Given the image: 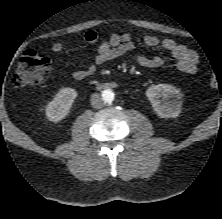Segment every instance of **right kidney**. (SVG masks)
<instances>
[{"mask_svg":"<svg viewBox=\"0 0 222 219\" xmlns=\"http://www.w3.org/2000/svg\"><path fill=\"white\" fill-rule=\"evenodd\" d=\"M77 97L73 88H61L54 96V99L46 106V116L52 122H59L64 119Z\"/></svg>","mask_w":222,"mask_h":219,"instance_id":"ca27d5eb","label":"right kidney"}]
</instances>
